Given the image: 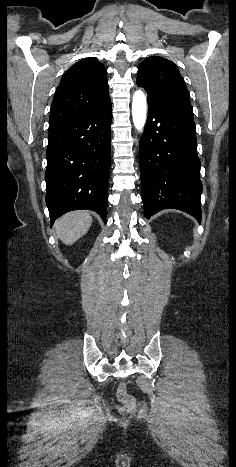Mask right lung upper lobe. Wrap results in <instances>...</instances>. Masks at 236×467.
I'll return each instance as SVG.
<instances>
[{
  "mask_svg": "<svg viewBox=\"0 0 236 467\" xmlns=\"http://www.w3.org/2000/svg\"><path fill=\"white\" fill-rule=\"evenodd\" d=\"M109 100L105 67L96 59H82L64 73L57 87L49 128L79 118Z\"/></svg>",
  "mask_w": 236,
  "mask_h": 467,
  "instance_id": "right-lung-upper-lobe-1",
  "label": "right lung upper lobe"
}]
</instances>
